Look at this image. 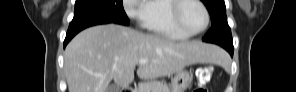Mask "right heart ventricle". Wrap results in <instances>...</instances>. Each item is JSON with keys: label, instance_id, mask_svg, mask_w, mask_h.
I'll list each match as a JSON object with an SVG mask.
<instances>
[{"label": "right heart ventricle", "instance_id": "obj_1", "mask_svg": "<svg viewBox=\"0 0 296 92\" xmlns=\"http://www.w3.org/2000/svg\"><path fill=\"white\" fill-rule=\"evenodd\" d=\"M173 0H153L147 3V13L143 21V27L155 34L175 39L183 40L187 36L181 33L173 24L171 10Z\"/></svg>", "mask_w": 296, "mask_h": 92}]
</instances>
